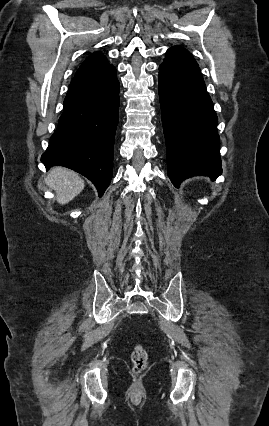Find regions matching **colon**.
Wrapping results in <instances>:
<instances>
[{
  "mask_svg": "<svg viewBox=\"0 0 269 426\" xmlns=\"http://www.w3.org/2000/svg\"><path fill=\"white\" fill-rule=\"evenodd\" d=\"M148 355L146 351L137 347L132 354V362L136 373L142 372L147 366Z\"/></svg>",
  "mask_w": 269,
  "mask_h": 426,
  "instance_id": "1",
  "label": "colon"
}]
</instances>
